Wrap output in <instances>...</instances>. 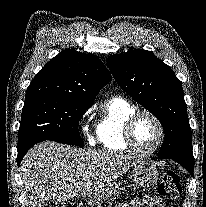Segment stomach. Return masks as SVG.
I'll return each instance as SVG.
<instances>
[{
  "label": "stomach",
  "instance_id": "1",
  "mask_svg": "<svg viewBox=\"0 0 206 207\" xmlns=\"http://www.w3.org/2000/svg\"><path fill=\"white\" fill-rule=\"evenodd\" d=\"M159 172L153 162L149 160H137L132 169V178L138 187L150 188L158 181ZM120 189V183L113 182L106 192L109 197Z\"/></svg>",
  "mask_w": 206,
  "mask_h": 207
}]
</instances>
